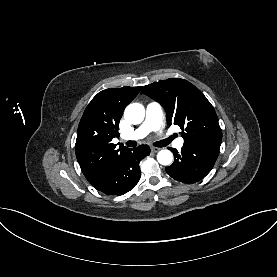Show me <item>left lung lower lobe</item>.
Returning <instances> with one entry per match:
<instances>
[{"label": "left lung lower lobe", "mask_w": 277, "mask_h": 277, "mask_svg": "<svg viewBox=\"0 0 277 277\" xmlns=\"http://www.w3.org/2000/svg\"><path fill=\"white\" fill-rule=\"evenodd\" d=\"M222 139H204L185 142L178 153L172 149L175 160L166 167V172L173 179L183 183H195L203 179L213 168Z\"/></svg>", "instance_id": "left-lung-lower-lobe-1"}]
</instances>
